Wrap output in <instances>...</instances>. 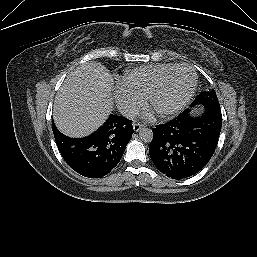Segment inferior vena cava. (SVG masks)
Instances as JSON below:
<instances>
[{"label":"inferior vena cava","instance_id":"obj_1","mask_svg":"<svg viewBox=\"0 0 257 257\" xmlns=\"http://www.w3.org/2000/svg\"><path fill=\"white\" fill-rule=\"evenodd\" d=\"M120 113L131 120H135L139 116V110L136 107H122Z\"/></svg>","mask_w":257,"mask_h":257}]
</instances>
